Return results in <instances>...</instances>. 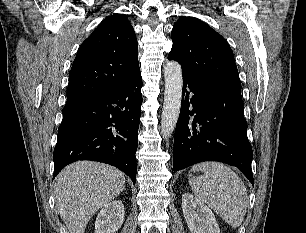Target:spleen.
Segmentation results:
<instances>
[{
    "label": "spleen",
    "instance_id": "spleen-1",
    "mask_svg": "<svg viewBox=\"0 0 306 233\" xmlns=\"http://www.w3.org/2000/svg\"><path fill=\"white\" fill-rule=\"evenodd\" d=\"M191 171L204 172L203 176L189 178L194 195L208 204L229 226L239 227L248 206L244 182L228 166L219 162H202Z\"/></svg>",
    "mask_w": 306,
    "mask_h": 233
}]
</instances>
